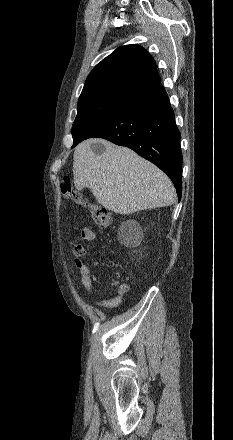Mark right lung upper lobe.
I'll return each instance as SVG.
<instances>
[{
	"label": "right lung upper lobe",
	"mask_w": 233,
	"mask_h": 440,
	"mask_svg": "<svg viewBox=\"0 0 233 440\" xmlns=\"http://www.w3.org/2000/svg\"><path fill=\"white\" fill-rule=\"evenodd\" d=\"M161 85L153 57L139 45L116 49L91 71L78 102L133 98Z\"/></svg>",
	"instance_id": "cb5924a9"
}]
</instances>
